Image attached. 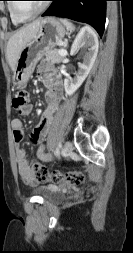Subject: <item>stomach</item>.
Returning a JSON list of instances; mask_svg holds the SVG:
<instances>
[{
    "label": "stomach",
    "mask_w": 133,
    "mask_h": 253,
    "mask_svg": "<svg viewBox=\"0 0 133 253\" xmlns=\"http://www.w3.org/2000/svg\"><path fill=\"white\" fill-rule=\"evenodd\" d=\"M66 30L55 18L47 17L42 20L37 34L22 49L17 59L13 75L15 86H23L33 73L37 62L46 51L59 45Z\"/></svg>",
    "instance_id": "obj_1"
}]
</instances>
